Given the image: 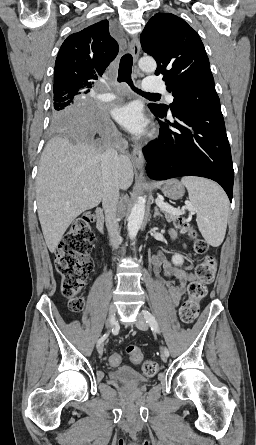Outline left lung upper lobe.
Instances as JSON below:
<instances>
[{"label":"left lung upper lobe","instance_id":"left-lung-upper-lobe-1","mask_svg":"<svg viewBox=\"0 0 256 445\" xmlns=\"http://www.w3.org/2000/svg\"><path fill=\"white\" fill-rule=\"evenodd\" d=\"M144 52L157 61L155 74H163L167 90L174 96L171 111L178 104L220 109L209 59L194 29L171 13H157L146 24L141 37ZM150 108L166 115L168 106Z\"/></svg>","mask_w":256,"mask_h":445}]
</instances>
